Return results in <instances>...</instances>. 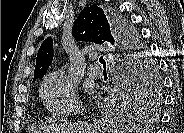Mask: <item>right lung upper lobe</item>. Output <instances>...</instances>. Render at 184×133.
Here are the masks:
<instances>
[{"instance_id":"obj_1","label":"right lung upper lobe","mask_w":184,"mask_h":133,"mask_svg":"<svg viewBox=\"0 0 184 133\" xmlns=\"http://www.w3.org/2000/svg\"><path fill=\"white\" fill-rule=\"evenodd\" d=\"M73 37L77 41L93 42L96 44H103L110 42L117 43V36L115 35L110 16L104 13L103 9L98 6L85 7L78 18L75 20L72 28ZM53 59V41L48 37L43 41L36 58V65L34 70V78H42Z\"/></svg>"}]
</instances>
